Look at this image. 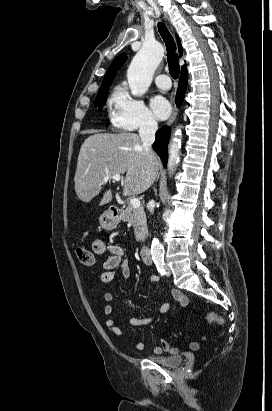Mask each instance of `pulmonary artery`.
Masks as SVG:
<instances>
[{"label":"pulmonary artery","instance_id":"obj_1","mask_svg":"<svg viewBox=\"0 0 272 411\" xmlns=\"http://www.w3.org/2000/svg\"><path fill=\"white\" fill-rule=\"evenodd\" d=\"M155 83L158 88L168 90L171 87L169 77L166 74H160L156 77Z\"/></svg>","mask_w":272,"mask_h":411}]
</instances>
